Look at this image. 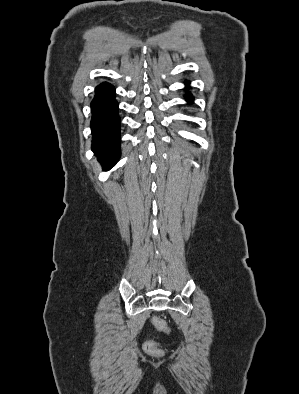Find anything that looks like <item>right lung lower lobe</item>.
Segmentation results:
<instances>
[{"label": "right lung lower lobe", "instance_id": "98d812e1", "mask_svg": "<svg viewBox=\"0 0 299 394\" xmlns=\"http://www.w3.org/2000/svg\"><path fill=\"white\" fill-rule=\"evenodd\" d=\"M91 110L92 150L104 170H109L120 156V118L112 85L101 83L96 87Z\"/></svg>", "mask_w": 299, "mask_h": 394}]
</instances>
